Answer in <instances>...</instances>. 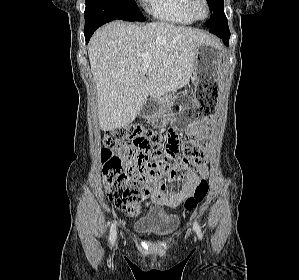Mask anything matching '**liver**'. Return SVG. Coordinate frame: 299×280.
<instances>
[{
  "label": "liver",
  "mask_w": 299,
  "mask_h": 280,
  "mask_svg": "<svg viewBox=\"0 0 299 280\" xmlns=\"http://www.w3.org/2000/svg\"><path fill=\"white\" fill-rule=\"evenodd\" d=\"M203 43L215 44L200 31L165 22L112 21L96 31L88 57L97 88L100 128L126 127L148 95L160 99L171 88L186 85L194 70L195 51ZM146 52L151 54L147 62L142 58Z\"/></svg>",
  "instance_id": "liver-1"
}]
</instances>
